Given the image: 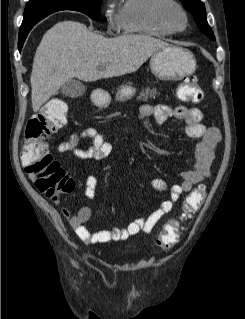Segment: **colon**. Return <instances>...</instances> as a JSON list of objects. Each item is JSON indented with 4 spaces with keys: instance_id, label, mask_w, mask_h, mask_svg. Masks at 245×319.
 <instances>
[{
    "instance_id": "obj_1",
    "label": "colon",
    "mask_w": 245,
    "mask_h": 319,
    "mask_svg": "<svg viewBox=\"0 0 245 319\" xmlns=\"http://www.w3.org/2000/svg\"><path fill=\"white\" fill-rule=\"evenodd\" d=\"M180 97L187 102L201 103L203 90L196 84V78L186 80L180 90ZM68 106L60 100L51 101L42 113L32 116L26 124L22 144L21 160L25 171L35 179L36 188L51 198L71 192L73 180L65 173L59 162L48 149L46 140L67 123ZM206 190L198 186L186 197L179 220L169 222L155 236L159 247L170 248L178 240L180 220L187 219L203 203Z\"/></svg>"
}]
</instances>
